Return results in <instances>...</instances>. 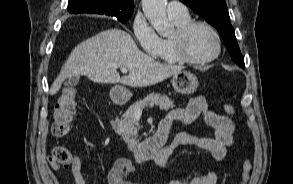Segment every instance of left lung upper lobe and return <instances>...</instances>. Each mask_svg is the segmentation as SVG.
Instances as JSON below:
<instances>
[{
  "label": "left lung upper lobe",
  "instance_id": "left-lung-upper-lobe-1",
  "mask_svg": "<svg viewBox=\"0 0 293 184\" xmlns=\"http://www.w3.org/2000/svg\"><path fill=\"white\" fill-rule=\"evenodd\" d=\"M188 5L195 13L212 24L221 35L231 58L239 65H244V59L239 49L234 29L225 0H180Z\"/></svg>",
  "mask_w": 293,
  "mask_h": 184
}]
</instances>
